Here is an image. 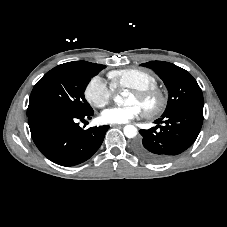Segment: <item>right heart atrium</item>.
I'll return each instance as SVG.
<instances>
[{
    "instance_id": "obj_1",
    "label": "right heart atrium",
    "mask_w": 227,
    "mask_h": 227,
    "mask_svg": "<svg viewBox=\"0 0 227 227\" xmlns=\"http://www.w3.org/2000/svg\"><path fill=\"white\" fill-rule=\"evenodd\" d=\"M113 89L100 76H95L87 83L84 96L96 108H103L112 99Z\"/></svg>"
}]
</instances>
